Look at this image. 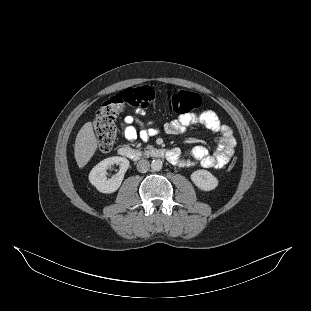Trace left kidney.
I'll list each match as a JSON object with an SVG mask.
<instances>
[{"label": "left kidney", "mask_w": 311, "mask_h": 311, "mask_svg": "<svg viewBox=\"0 0 311 311\" xmlns=\"http://www.w3.org/2000/svg\"><path fill=\"white\" fill-rule=\"evenodd\" d=\"M191 180L201 190L210 191L218 186L217 178L207 170H197L191 174Z\"/></svg>", "instance_id": "1"}]
</instances>
